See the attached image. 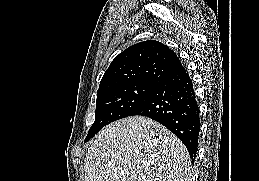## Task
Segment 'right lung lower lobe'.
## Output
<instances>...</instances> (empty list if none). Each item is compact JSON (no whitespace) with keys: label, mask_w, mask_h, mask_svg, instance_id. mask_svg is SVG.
I'll list each match as a JSON object with an SVG mask.
<instances>
[{"label":"right lung lower lobe","mask_w":259,"mask_h":181,"mask_svg":"<svg viewBox=\"0 0 259 181\" xmlns=\"http://www.w3.org/2000/svg\"><path fill=\"white\" fill-rule=\"evenodd\" d=\"M133 115L149 117L167 127L183 142L194 161L200 131L199 108L191 79L183 66L164 76L151 97Z\"/></svg>","instance_id":"obj_1"}]
</instances>
